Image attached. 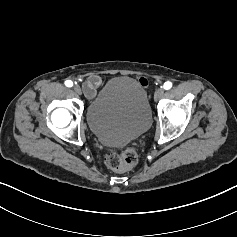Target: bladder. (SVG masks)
Listing matches in <instances>:
<instances>
[{
    "instance_id": "31cf9c89",
    "label": "bladder",
    "mask_w": 237,
    "mask_h": 237,
    "mask_svg": "<svg viewBox=\"0 0 237 237\" xmlns=\"http://www.w3.org/2000/svg\"><path fill=\"white\" fill-rule=\"evenodd\" d=\"M90 131L106 145L120 146L141 136L151 125L146 89L134 78H111L86 110Z\"/></svg>"
}]
</instances>
